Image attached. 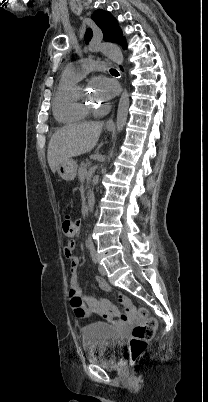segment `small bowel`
<instances>
[{"label": "small bowel", "mask_w": 208, "mask_h": 402, "mask_svg": "<svg viewBox=\"0 0 208 402\" xmlns=\"http://www.w3.org/2000/svg\"><path fill=\"white\" fill-rule=\"evenodd\" d=\"M82 227L81 221H76L75 225L73 226L74 232H79ZM79 235V234H78ZM71 243H69L64 249L63 252L64 257L66 259H71L70 262V287H69V297L72 298L74 296L80 297V290H79V275H78V262L73 255V251L75 249V242L78 241V238L72 236L70 238ZM95 282L97 286L104 292H111V286L102 278L96 277ZM122 300H127L128 303L122 304L125 308L124 312L122 313L118 308L113 306L109 300L104 298H95L91 296H84L82 298L83 304L87 307V311L97 313L102 318L108 321L115 322V327L117 330H127L130 327V324L135 321V316L138 315L134 309H132V304L127 298L125 293L120 295Z\"/></svg>", "instance_id": "c3829d8e"}]
</instances>
